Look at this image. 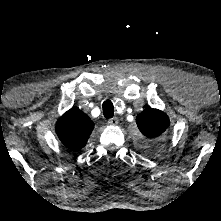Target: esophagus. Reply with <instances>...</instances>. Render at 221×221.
<instances>
[{
	"instance_id": "esophagus-1",
	"label": "esophagus",
	"mask_w": 221,
	"mask_h": 221,
	"mask_svg": "<svg viewBox=\"0 0 221 221\" xmlns=\"http://www.w3.org/2000/svg\"><path fill=\"white\" fill-rule=\"evenodd\" d=\"M108 124L111 126H115L118 124V118L117 117H113L111 119L108 120Z\"/></svg>"
}]
</instances>
